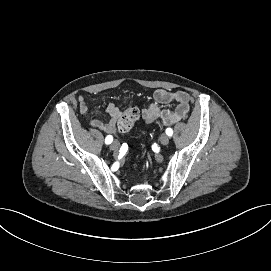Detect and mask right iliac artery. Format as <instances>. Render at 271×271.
Here are the masks:
<instances>
[{"instance_id":"1","label":"right iliac artery","mask_w":271,"mask_h":271,"mask_svg":"<svg viewBox=\"0 0 271 271\" xmlns=\"http://www.w3.org/2000/svg\"><path fill=\"white\" fill-rule=\"evenodd\" d=\"M113 141V137L111 135H108L105 139L106 144H110Z\"/></svg>"}]
</instances>
